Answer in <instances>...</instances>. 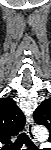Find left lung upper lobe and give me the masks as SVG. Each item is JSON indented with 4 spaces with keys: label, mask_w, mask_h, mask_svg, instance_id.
Segmentation results:
<instances>
[{
    "label": "left lung upper lobe",
    "mask_w": 51,
    "mask_h": 150,
    "mask_svg": "<svg viewBox=\"0 0 51 150\" xmlns=\"http://www.w3.org/2000/svg\"><path fill=\"white\" fill-rule=\"evenodd\" d=\"M34 119L37 124L44 125L51 130V99L43 101L35 110Z\"/></svg>",
    "instance_id": "1"
}]
</instances>
